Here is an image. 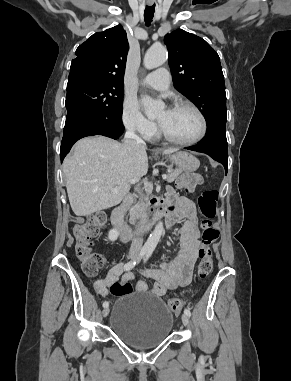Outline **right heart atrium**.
Returning a JSON list of instances; mask_svg holds the SVG:
<instances>
[{
    "label": "right heart atrium",
    "instance_id": "d8ad5b80",
    "mask_svg": "<svg viewBox=\"0 0 291 381\" xmlns=\"http://www.w3.org/2000/svg\"><path fill=\"white\" fill-rule=\"evenodd\" d=\"M121 119L126 129L144 138H151L156 132L155 124L142 114L138 105L132 99L127 98L124 100Z\"/></svg>",
    "mask_w": 291,
    "mask_h": 381
}]
</instances>
